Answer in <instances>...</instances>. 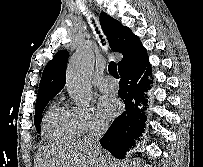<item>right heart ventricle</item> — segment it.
Wrapping results in <instances>:
<instances>
[{
    "mask_svg": "<svg viewBox=\"0 0 203 167\" xmlns=\"http://www.w3.org/2000/svg\"><path fill=\"white\" fill-rule=\"evenodd\" d=\"M45 137L54 142L72 140L77 134L69 116L68 108L53 104L43 120Z\"/></svg>",
    "mask_w": 203,
    "mask_h": 167,
    "instance_id": "right-heart-ventricle-1",
    "label": "right heart ventricle"
}]
</instances>
